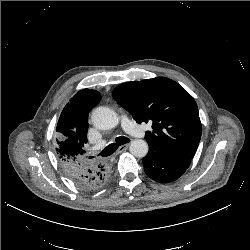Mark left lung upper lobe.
Returning a JSON list of instances; mask_svg holds the SVG:
<instances>
[{"instance_id": "left-lung-upper-lobe-1", "label": "left lung upper lobe", "mask_w": 250, "mask_h": 250, "mask_svg": "<svg viewBox=\"0 0 250 250\" xmlns=\"http://www.w3.org/2000/svg\"><path fill=\"white\" fill-rule=\"evenodd\" d=\"M113 97L137 123H152L145 135L149 149L169 157H194L202 131L198 107L177 82L165 77L127 82L114 89Z\"/></svg>"}]
</instances>
